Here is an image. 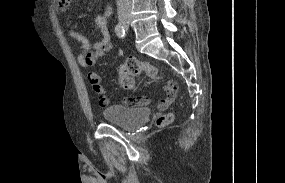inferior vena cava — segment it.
<instances>
[{
	"instance_id": "obj_1",
	"label": "inferior vena cava",
	"mask_w": 285,
	"mask_h": 183,
	"mask_svg": "<svg viewBox=\"0 0 285 183\" xmlns=\"http://www.w3.org/2000/svg\"><path fill=\"white\" fill-rule=\"evenodd\" d=\"M118 17L123 18L130 15V0H117Z\"/></svg>"
}]
</instances>
